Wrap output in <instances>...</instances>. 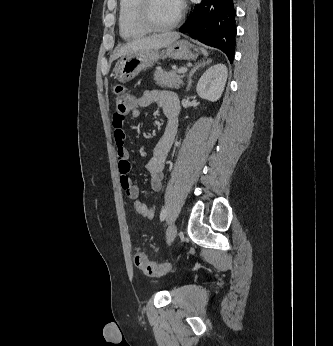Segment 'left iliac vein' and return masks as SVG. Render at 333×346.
<instances>
[{
  "mask_svg": "<svg viewBox=\"0 0 333 346\" xmlns=\"http://www.w3.org/2000/svg\"><path fill=\"white\" fill-rule=\"evenodd\" d=\"M176 234H177V227H176V224L172 222L169 225L167 229V233H166V239L168 244H170L174 240Z\"/></svg>",
  "mask_w": 333,
  "mask_h": 346,
  "instance_id": "1",
  "label": "left iliac vein"
}]
</instances>
